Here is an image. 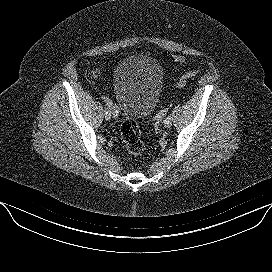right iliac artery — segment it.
<instances>
[{"instance_id": "obj_1", "label": "right iliac artery", "mask_w": 272, "mask_h": 272, "mask_svg": "<svg viewBox=\"0 0 272 272\" xmlns=\"http://www.w3.org/2000/svg\"><path fill=\"white\" fill-rule=\"evenodd\" d=\"M102 112H103V114H105V115H106V114H108V112H109V111H108V109H106V108H105V109H103V111H102Z\"/></svg>"}]
</instances>
